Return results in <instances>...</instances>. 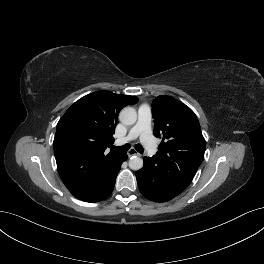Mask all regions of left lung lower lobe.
Returning <instances> with one entry per match:
<instances>
[{
    "mask_svg": "<svg viewBox=\"0 0 264 264\" xmlns=\"http://www.w3.org/2000/svg\"><path fill=\"white\" fill-rule=\"evenodd\" d=\"M144 166L136 173L139 190L154 202H165L180 194L194 176L177 168H167L157 156L144 157Z\"/></svg>",
    "mask_w": 264,
    "mask_h": 264,
    "instance_id": "left-lung-lower-lobe-1",
    "label": "left lung lower lobe"
}]
</instances>
